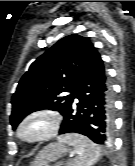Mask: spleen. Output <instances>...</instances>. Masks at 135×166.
<instances>
[{"label": "spleen", "instance_id": "obj_1", "mask_svg": "<svg viewBox=\"0 0 135 166\" xmlns=\"http://www.w3.org/2000/svg\"><path fill=\"white\" fill-rule=\"evenodd\" d=\"M58 140L72 147L75 156L71 166H92L101 156L100 147L83 135L72 133L60 136Z\"/></svg>", "mask_w": 135, "mask_h": 166}]
</instances>
